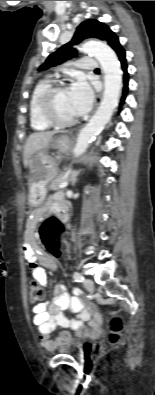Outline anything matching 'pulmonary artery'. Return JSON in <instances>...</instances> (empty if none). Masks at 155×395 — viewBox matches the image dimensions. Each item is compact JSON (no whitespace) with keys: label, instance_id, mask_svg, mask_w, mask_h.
Returning <instances> with one entry per match:
<instances>
[{"label":"pulmonary artery","instance_id":"obj_1","mask_svg":"<svg viewBox=\"0 0 155 395\" xmlns=\"http://www.w3.org/2000/svg\"><path fill=\"white\" fill-rule=\"evenodd\" d=\"M75 65L80 69L95 70L97 61L93 57L85 56L75 62Z\"/></svg>","mask_w":155,"mask_h":395}]
</instances>
